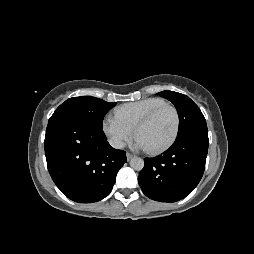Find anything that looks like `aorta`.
Here are the masks:
<instances>
[{"instance_id":"obj_1","label":"aorta","mask_w":254,"mask_h":254,"mask_svg":"<svg viewBox=\"0 0 254 254\" xmlns=\"http://www.w3.org/2000/svg\"><path fill=\"white\" fill-rule=\"evenodd\" d=\"M130 166L136 171H141L144 167V160L140 157H135L131 159Z\"/></svg>"}]
</instances>
